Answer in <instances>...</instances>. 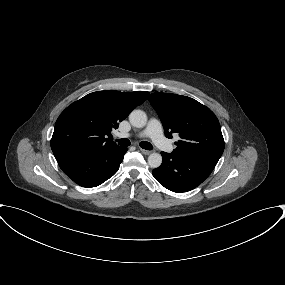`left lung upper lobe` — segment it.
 Instances as JSON below:
<instances>
[{"mask_svg": "<svg viewBox=\"0 0 285 285\" xmlns=\"http://www.w3.org/2000/svg\"><path fill=\"white\" fill-rule=\"evenodd\" d=\"M149 102L159 115L165 135L180 136L174 154L216 166L224 151V139L215 114L198 101L171 93H153Z\"/></svg>", "mask_w": 285, "mask_h": 285, "instance_id": "obj_1", "label": "left lung upper lobe"}]
</instances>
